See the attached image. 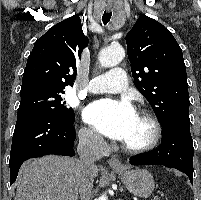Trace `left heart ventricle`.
<instances>
[{"instance_id": "1", "label": "left heart ventricle", "mask_w": 201, "mask_h": 200, "mask_svg": "<svg viewBox=\"0 0 201 200\" xmlns=\"http://www.w3.org/2000/svg\"><path fill=\"white\" fill-rule=\"evenodd\" d=\"M152 135L150 123L143 117L136 115L127 138L123 141L130 146H140L147 143Z\"/></svg>"}]
</instances>
